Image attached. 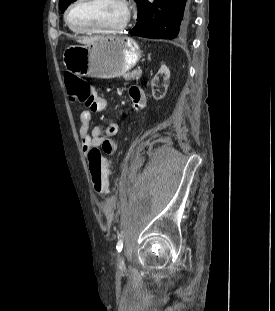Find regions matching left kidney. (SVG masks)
<instances>
[{
    "label": "left kidney",
    "mask_w": 275,
    "mask_h": 311,
    "mask_svg": "<svg viewBox=\"0 0 275 311\" xmlns=\"http://www.w3.org/2000/svg\"><path fill=\"white\" fill-rule=\"evenodd\" d=\"M159 74H164L165 77L162 75L159 79V82H155L158 80V75ZM170 71L169 69L167 68V66L165 65H162L160 70L158 71L157 75L154 77L153 79V83H152V88L153 89H168L169 87V82H170ZM153 98L155 100H160L164 97V94L163 95H158L156 94V92L153 90Z\"/></svg>",
    "instance_id": "obj_1"
}]
</instances>
